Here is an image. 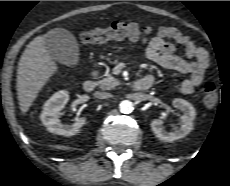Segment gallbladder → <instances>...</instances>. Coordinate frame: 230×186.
Listing matches in <instances>:
<instances>
[{"instance_id": "gallbladder-1", "label": "gallbladder", "mask_w": 230, "mask_h": 186, "mask_svg": "<svg viewBox=\"0 0 230 186\" xmlns=\"http://www.w3.org/2000/svg\"><path fill=\"white\" fill-rule=\"evenodd\" d=\"M46 47L51 57L57 62L72 66L79 60V49L75 37L67 30H50L46 37Z\"/></svg>"}]
</instances>
